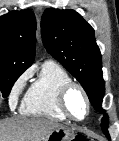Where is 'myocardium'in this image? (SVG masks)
<instances>
[{"label":"myocardium","mask_w":119,"mask_h":141,"mask_svg":"<svg viewBox=\"0 0 119 141\" xmlns=\"http://www.w3.org/2000/svg\"><path fill=\"white\" fill-rule=\"evenodd\" d=\"M73 89H77L80 91V93L83 95L85 103H86V113L82 118L74 117L68 108L67 99H68L70 92ZM58 105H59L60 111L66 116L67 119H70V120L76 121V122H80V121L85 120L88 117L90 110H91V102H90V98H89L86 90L84 89V87L82 85H80L79 83L73 82V81L64 84L60 88V90L58 92Z\"/></svg>","instance_id":"f54148a6"}]
</instances>
